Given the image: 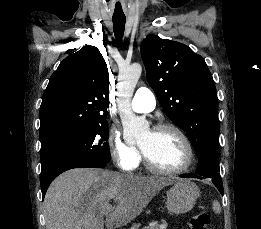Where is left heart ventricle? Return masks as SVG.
Instances as JSON below:
<instances>
[{
	"mask_svg": "<svg viewBox=\"0 0 261 229\" xmlns=\"http://www.w3.org/2000/svg\"><path fill=\"white\" fill-rule=\"evenodd\" d=\"M147 158L157 167L177 169L185 160V150L179 137L172 131H148L139 140Z\"/></svg>",
	"mask_w": 261,
	"mask_h": 229,
	"instance_id": "b2bd125f",
	"label": "left heart ventricle"
}]
</instances>
